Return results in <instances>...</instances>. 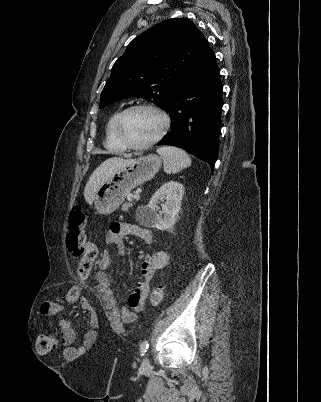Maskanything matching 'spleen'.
Listing matches in <instances>:
<instances>
[{
	"mask_svg": "<svg viewBox=\"0 0 321 402\" xmlns=\"http://www.w3.org/2000/svg\"><path fill=\"white\" fill-rule=\"evenodd\" d=\"M162 157L164 172L175 174L191 165L190 156L182 149L173 146H163L157 149Z\"/></svg>",
	"mask_w": 321,
	"mask_h": 402,
	"instance_id": "3e777b00",
	"label": "spleen"
}]
</instances>
